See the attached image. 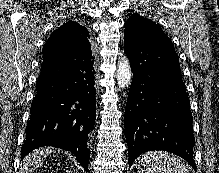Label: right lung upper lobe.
Segmentation results:
<instances>
[{
    "instance_id": "right-lung-upper-lobe-1",
    "label": "right lung upper lobe",
    "mask_w": 219,
    "mask_h": 173,
    "mask_svg": "<svg viewBox=\"0 0 219 173\" xmlns=\"http://www.w3.org/2000/svg\"><path fill=\"white\" fill-rule=\"evenodd\" d=\"M90 36L85 27L69 21L56 29L43 46V61L57 65L68 63L75 55L91 58Z\"/></svg>"
}]
</instances>
